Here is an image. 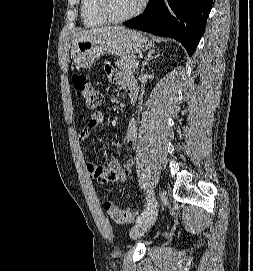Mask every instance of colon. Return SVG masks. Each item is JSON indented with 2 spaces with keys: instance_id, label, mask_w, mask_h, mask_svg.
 Returning a JSON list of instances; mask_svg holds the SVG:
<instances>
[{
  "instance_id": "colon-1",
  "label": "colon",
  "mask_w": 253,
  "mask_h": 271,
  "mask_svg": "<svg viewBox=\"0 0 253 271\" xmlns=\"http://www.w3.org/2000/svg\"><path fill=\"white\" fill-rule=\"evenodd\" d=\"M74 92L90 109H97L103 100L101 93L83 74H74L72 77ZM104 209L117 224H128L134 219L133 212L117 207L111 200L104 202Z\"/></svg>"
}]
</instances>
